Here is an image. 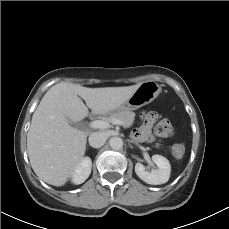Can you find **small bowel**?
Segmentation results:
<instances>
[{
	"label": "small bowel",
	"mask_w": 229,
	"mask_h": 229,
	"mask_svg": "<svg viewBox=\"0 0 229 229\" xmlns=\"http://www.w3.org/2000/svg\"><path fill=\"white\" fill-rule=\"evenodd\" d=\"M158 115L154 112H146L142 115V125L139 129L135 131V136L138 140L144 141L147 140L150 136V129L153 126V124L157 121ZM177 147H182L184 149V146L182 144H176L173 147V150Z\"/></svg>",
	"instance_id": "c3829d8e"
}]
</instances>
